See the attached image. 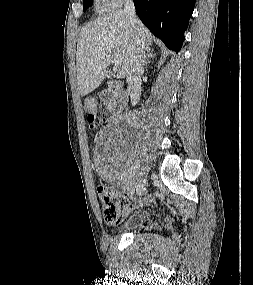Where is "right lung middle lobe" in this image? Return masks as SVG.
Returning <instances> with one entry per match:
<instances>
[{
	"mask_svg": "<svg viewBox=\"0 0 253 285\" xmlns=\"http://www.w3.org/2000/svg\"><path fill=\"white\" fill-rule=\"evenodd\" d=\"M93 0H83V10L87 9L89 6H91Z\"/></svg>",
	"mask_w": 253,
	"mask_h": 285,
	"instance_id": "obj_1",
	"label": "right lung middle lobe"
}]
</instances>
